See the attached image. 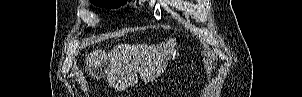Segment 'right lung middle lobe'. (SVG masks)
<instances>
[{"mask_svg": "<svg viewBox=\"0 0 302 97\" xmlns=\"http://www.w3.org/2000/svg\"><path fill=\"white\" fill-rule=\"evenodd\" d=\"M91 3L102 8L114 9L124 4L125 0H91Z\"/></svg>", "mask_w": 302, "mask_h": 97, "instance_id": "obj_1", "label": "right lung middle lobe"}]
</instances>
